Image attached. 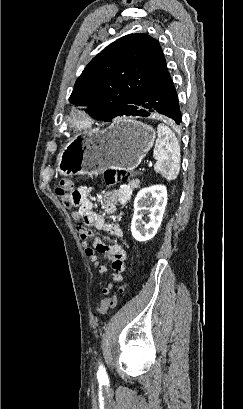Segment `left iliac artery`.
<instances>
[{
  "label": "left iliac artery",
  "instance_id": "obj_1",
  "mask_svg": "<svg viewBox=\"0 0 243 409\" xmlns=\"http://www.w3.org/2000/svg\"><path fill=\"white\" fill-rule=\"evenodd\" d=\"M97 377H98L99 380L107 378L105 368L103 367L102 364L99 366V370L97 372Z\"/></svg>",
  "mask_w": 243,
  "mask_h": 409
}]
</instances>
